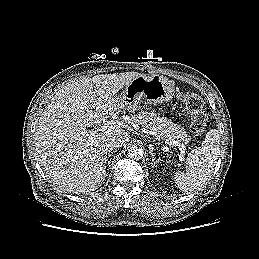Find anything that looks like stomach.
Here are the masks:
<instances>
[{
    "mask_svg": "<svg viewBox=\"0 0 259 259\" xmlns=\"http://www.w3.org/2000/svg\"><path fill=\"white\" fill-rule=\"evenodd\" d=\"M174 97V86L160 75H140L125 86L119 95L124 108L139 110L149 105L169 102Z\"/></svg>",
    "mask_w": 259,
    "mask_h": 259,
    "instance_id": "stomach-1",
    "label": "stomach"
}]
</instances>
